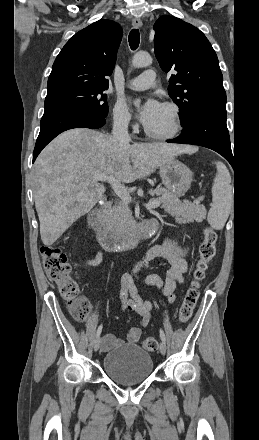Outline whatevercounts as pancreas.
Instances as JSON below:
<instances>
[{
	"instance_id": "cf45deb5",
	"label": "pancreas",
	"mask_w": 259,
	"mask_h": 440,
	"mask_svg": "<svg viewBox=\"0 0 259 440\" xmlns=\"http://www.w3.org/2000/svg\"><path fill=\"white\" fill-rule=\"evenodd\" d=\"M149 194L159 196L156 200L160 202L161 208L179 220L201 221L206 216L205 207L200 205V201L203 199L202 197L194 202H182L165 188L150 190ZM133 222L134 219L129 208V203L123 200L117 202L107 216V228L113 233L127 232Z\"/></svg>"
}]
</instances>
